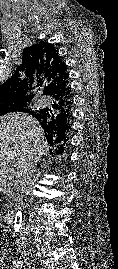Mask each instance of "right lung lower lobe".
I'll return each instance as SVG.
<instances>
[{"mask_svg": "<svg viewBox=\"0 0 118 269\" xmlns=\"http://www.w3.org/2000/svg\"><path fill=\"white\" fill-rule=\"evenodd\" d=\"M70 91H71V88H70ZM69 126H70V124H69ZM69 129L66 132H64V133H61L60 132V133L56 134V136L52 140H50V141L47 140V141L51 145L52 144H58L60 146V150L62 152L63 151L62 150V146L65 145L66 141H68L67 132L69 131Z\"/></svg>", "mask_w": 118, "mask_h": 269, "instance_id": "1", "label": "right lung lower lobe"}]
</instances>
